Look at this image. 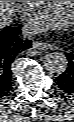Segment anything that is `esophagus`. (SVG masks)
<instances>
[{
  "label": "esophagus",
  "mask_w": 74,
  "mask_h": 122,
  "mask_svg": "<svg viewBox=\"0 0 74 122\" xmlns=\"http://www.w3.org/2000/svg\"><path fill=\"white\" fill-rule=\"evenodd\" d=\"M32 48L34 50H48V49H51L52 46L48 43L33 41Z\"/></svg>",
  "instance_id": "1"
}]
</instances>
